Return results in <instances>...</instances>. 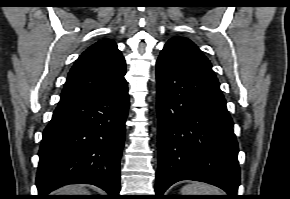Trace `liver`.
<instances>
[{
	"label": "liver",
	"instance_id": "liver-1",
	"mask_svg": "<svg viewBox=\"0 0 290 199\" xmlns=\"http://www.w3.org/2000/svg\"><path fill=\"white\" fill-rule=\"evenodd\" d=\"M59 195H89V191L83 185H68L59 189Z\"/></svg>",
	"mask_w": 290,
	"mask_h": 199
}]
</instances>
